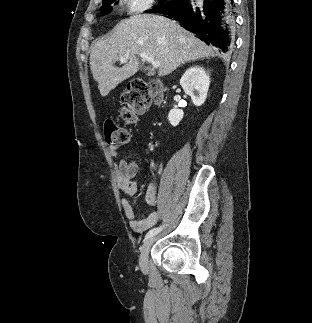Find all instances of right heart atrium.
Instances as JSON below:
<instances>
[{
	"label": "right heart atrium",
	"mask_w": 312,
	"mask_h": 323,
	"mask_svg": "<svg viewBox=\"0 0 312 323\" xmlns=\"http://www.w3.org/2000/svg\"><path fill=\"white\" fill-rule=\"evenodd\" d=\"M158 0H117L118 5H126L130 13H148V6L158 5Z\"/></svg>",
	"instance_id": "d8ad5b80"
}]
</instances>
